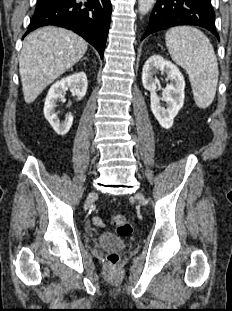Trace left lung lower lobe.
<instances>
[{
    "mask_svg": "<svg viewBox=\"0 0 232 311\" xmlns=\"http://www.w3.org/2000/svg\"><path fill=\"white\" fill-rule=\"evenodd\" d=\"M177 25L200 26L219 39L211 0H157L142 39L149 34Z\"/></svg>",
    "mask_w": 232,
    "mask_h": 311,
    "instance_id": "1",
    "label": "left lung lower lobe"
}]
</instances>
